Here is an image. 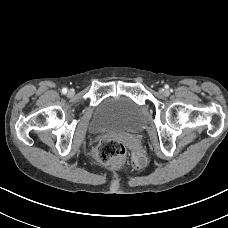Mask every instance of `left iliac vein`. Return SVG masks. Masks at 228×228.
<instances>
[{
	"instance_id": "1",
	"label": "left iliac vein",
	"mask_w": 228,
	"mask_h": 228,
	"mask_svg": "<svg viewBox=\"0 0 228 228\" xmlns=\"http://www.w3.org/2000/svg\"><path fill=\"white\" fill-rule=\"evenodd\" d=\"M160 93L165 96L168 95V91L166 89H161Z\"/></svg>"
}]
</instances>
